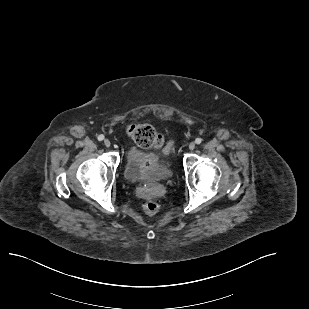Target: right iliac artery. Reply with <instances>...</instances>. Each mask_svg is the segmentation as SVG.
I'll return each instance as SVG.
<instances>
[{"label":"right iliac artery","mask_w":309,"mask_h":309,"mask_svg":"<svg viewBox=\"0 0 309 309\" xmlns=\"http://www.w3.org/2000/svg\"><path fill=\"white\" fill-rule=\"evenodd\" d=\"M103 139H104V135H99V136H98V140H99V141H102Z\"/></svg>","instance_id":"82829eb1"}]
</instances>
